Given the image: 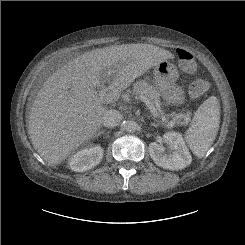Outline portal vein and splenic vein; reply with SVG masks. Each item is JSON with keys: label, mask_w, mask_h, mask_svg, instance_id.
I'll return each mask as SVG.
<instances>
[{"label": "portal vein and splenic vein", "mask_w": 245, "mask_h": 245, "mask_svg": "<svg viewBox=\"0 0 245 245\" xmlns=\"http://www.w3.org/2000/svg\"><path fill=\"white\" fill-rule=\"evenodd\" d=\"M112 74H113V70L110 69L107 71L108 76H111ZM106 91H107L106 87L101 88L99 91V96L104 97L106 95ZM139 99L146 105V107L150 110V112L153 114L154 117H159L157 109L153 106V104L147 97L140 95ZM178 118L179 116L177 115L176 117L173 118L172 121L166 123L165 126L168 128H172Z\"/></svg>", "instance_id": "18ae733b"}]
</instances>
